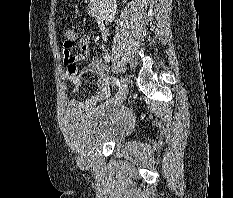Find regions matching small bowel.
Here are the masks:
<instances>
[{
  "instance_id": "small-bowel-1",
  "label": "small bowel",
  "mask_w": 233,
  "mask_h": 198,
  "mask_svg": "<svg viewBox=\"0 0 233 198\" xmlns=\"http://www.w3.org/2000/svg\"><path fill=\"white\" fill-rule=\"evenodd\" d=\"M77 47L80 52L71 53V48L63 47V62L66 66L65 77L73 84V93H77L81 86V77L85 74H95L98 78L97 91L88 99L82 101L72 99L69 106L72 110H92L95 105L108 99L110 87L107 81L106 65L101 57H94L81 71L77 64L84 60L90 52V38L87 35L78 37Z\"/></svg>"
}]
</instances>
